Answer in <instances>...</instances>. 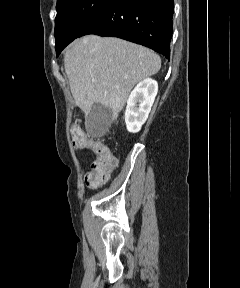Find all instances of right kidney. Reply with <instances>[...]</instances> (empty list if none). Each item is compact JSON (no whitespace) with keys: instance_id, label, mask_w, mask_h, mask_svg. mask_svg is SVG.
Wrapping results in <instances>:
<instances>
[{"instance_id":"ca27d5eb","label":"right kidney","mask_w":240,"mask_h":288,"mask_svg":"<svg viewBox=\"0 0 240 288\" xmlns=\"http://www.w3.org/2000/svg\"><path fill=\"white\" fill-rule=\"evenodd\" d=\"M157 92L158 83L151 78L139 82L131 92L125 111V122L129 132L140 131L148 118Z\"/></svg>"}]
</instances>
